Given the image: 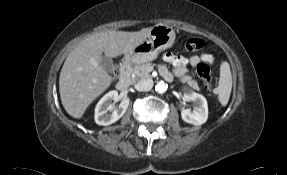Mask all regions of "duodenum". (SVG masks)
<instances>
[{
	"instance_id": "duodenum-1",
	"label": "duodenum",
	"mask_w": 287,
	"mask_h": 175,
	"mask_svg": "<svg viewBox=\"0 0 287 175\" xmlns=\"http://www.w3.org/2000/svg\"><path fill=\"white\" fill-rule=\"evenodd\" d=\"M131 84V61L125 59L120 64V78L117 82V89L126 90Z\"/></svg>"
}]
</instances>
